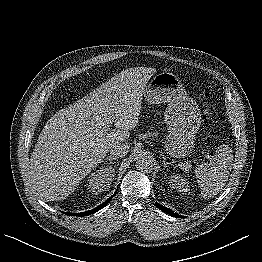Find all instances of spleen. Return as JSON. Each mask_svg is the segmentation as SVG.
I'll return each mask as SVG.
<instances>
[{
  "instance_id": "obj_1",
  "label": "spleen",
  "mask_w": 262,
  "mask_h": 262,
  "mask_svg": "<svg viewBox=\"0 0 262 262\" xmlns=\"http://www.w3.org/2000/svg\"><path fill=\"white\" fill-rule=\"evenodd\" d=\"M233 162L232 150L228 145L217 148L215 158L196 167L195 175L203 196H212L225 186Z\"/></svg>"
}]
</instances>
